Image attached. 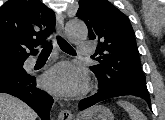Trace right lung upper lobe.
I'll list each match as a JSON object with an SVG mask.
<instances>
[{
  "label": "right lung upper lobe",
  "instance_id": "1",
  "mask_svg": "<svg viewBox=\"0 0 165 120\" xmlns=\"http://www.w3.org/2000/svg\"><path fill=\"white\" fill-rule=\"evenodd\" d=\"M54 29V12L39 0H8L0 8V63L36 55Z\"/></svg>",
  "mask_w": 165,
  "mask_h": 120
}]
</instances>
